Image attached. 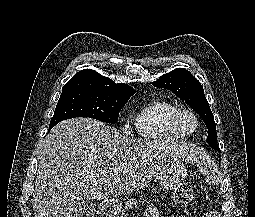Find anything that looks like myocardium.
<instances>
[{
	"instance_id": "f54148a6",
	"label": "myocardium",
	"mask_w": 255,
	"mask_h": 217,
	"mask_svg": "<svg viewBox=\"0 0 255 217\" xmlns=\"http://www.w3.org/2000/svg\"><path fill=\"white\" fill-rule=\"evenodd\" d=\"M190 119L194 123L192 129L185 126V120ZM174 126L185 136L194 134L199 128V119L197 115L188 109H178L172 117Z\"/></svg>"
}]
</instances>
